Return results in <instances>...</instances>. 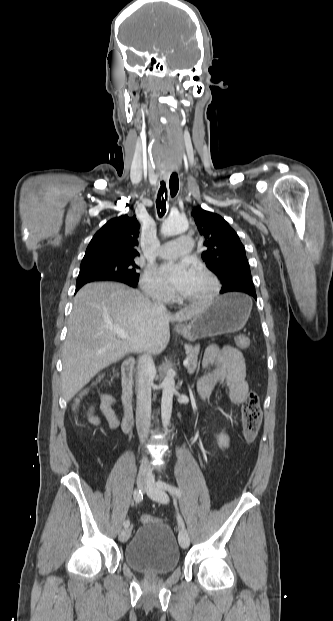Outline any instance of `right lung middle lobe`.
<instances>
[{"instance_id": "right-lung-middle-lobe-1", "label": "right lung middle lobe", "mask_w": 333, "mask_h": 621, "mask_svg": "<svg viewBox=\"0 0 333 621\" xmlns=\"http://www.w3.org/2000/svg\"><path fill=\"white\" fill-rule=\"evenodd\" d=\"M137 268L133 257L83 259L78 279L118 280L137 284L139 280Z\"/></svg>"}]
</instances>
